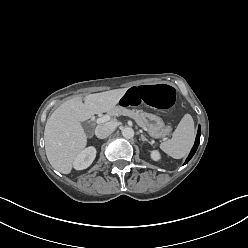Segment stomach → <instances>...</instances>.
I'll list each match as a JSON object with an SVG mask.
<instances>
[{
    "label": "stomach",
    "mask_w": 248,
    "mask_h": 248,
    "mask_svg": "<svg viewBox=\"0 0 248 248\" xmlns=\"http://www.w3.org/2000/svg\"><path fill=\"white\" fill-rule=\"evenodd\" d=\"M135 120L137 122L143 121V125L146 126L149 135L155 139L164 138L171 131V127L165 125L162 118L155 114L138 111L135 115Z\"/></svg>",
    "instance_id": "stomach-1"
}]
</instances>
